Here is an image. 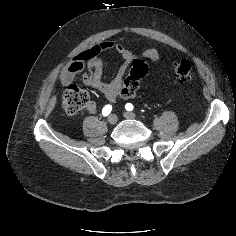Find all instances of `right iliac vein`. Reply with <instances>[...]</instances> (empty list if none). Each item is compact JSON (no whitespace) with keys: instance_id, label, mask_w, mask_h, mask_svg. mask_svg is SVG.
<instances>
[{"instance_id":"right-iliac-vein-1","label":"right iliac vein","mask_w":236,"mask_h":236,"mask_svg":"<svg viewBox=\"0 0 236 236\" xmlns=\"http://www.w3.org/2000/svg\"><path fill=\"white\" fill-rule=\"evenodd\" d=\"M118 121V118L115 114H111L109 117H108V122L112 125L116 124V122Z\"/></svg>"}]
</instances>
